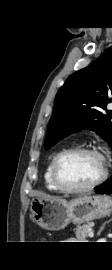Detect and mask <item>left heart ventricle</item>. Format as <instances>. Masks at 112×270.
Listing matches in <instances>:
<instances>
[{
    "label": "left heart ventricle",
    "instance_id": "1",
    "mask_svg": "<svg viewBox=\"0 0 112 270\" xmlns=\"http://www.w3.org/2000/svg\"><path fill=\"white\" fill-rule=\"evenodd\" d=\"M103 162L93 154H77L67 157L61 164L63 181L72 187H82L94 182L102 172Z\"/></svg>",
    "mask_w": 112,
    "mask_h": 270
}]
</instances>
